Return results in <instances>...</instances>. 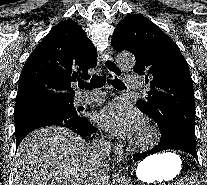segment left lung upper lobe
I'll return each mask as SVG.
<instances>
[{"label":"left lung upper lobe","instance_id":"1","mask_svg":"<svg viewBox=\"0 0 207 185\" xmlns=\"http://www.w3.org/2000/svg\"><path fill=\"white\" fill-rule=\"evenodd\" d=\"M111 44L134 54V71L150 84L148 97L137 101L139 110L155 120L161 134L179 129L195 142L193 81L175 42L148 18L129 14L116 26Z\"/></svg>","mask_w":207,"mask_h":185}]
</instances>
